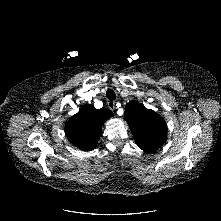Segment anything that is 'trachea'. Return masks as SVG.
<instances>
[{"instance_id": "1", "label": "trachea", "mask_w": 221, "mask_h": 221, "mask_svg": "<svg viewBox=\"0 0 221 221\" xmlns=\"http://www.w3.org/2000/svg\"><path fill=\"white\" fill-rule=\"evenodd\" d=\"M106 97H107L109 100H115V99H116V94H115L114 90L108 89V90L106 91Z\"/></svg>"}]
</instances>
